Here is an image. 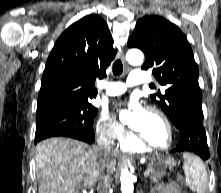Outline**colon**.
<instances>
[{
  "mask_svg": "<svg viewBox=\"0 0 221 193\" xmlns=\"http://www.w3.org/2000/svg\"><path fill=\"white\" fill-rule=\"evenodd\" d=\"M178 179H179V180H182V177L179 175V176H178Z\"/></svg>",
  "mask_w": 221,
  "mask_h": 193,
  "instance_id": "colon-1",
  "label": "colon"
}]
</instances>
